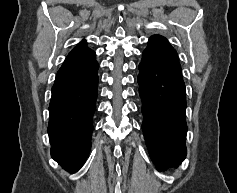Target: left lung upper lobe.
Returning <instances> with one entry per match:
<instances>
[{"label": "left lung upper lobe", "mask_w": 237, "mask_h": 193, "mask_svg": "<svg viewBox=\"0 0 237 193\" xmlns=\"http://www.w3.org/2000/svg\"><path fill=\"white\" fill-rule=\"evenodd\" d=\"M151 38L169 44L168 41H167V39L164 38L163 36L153 35Z\"/></svg>", "instance_id": "obj_1"}]
</instances>
